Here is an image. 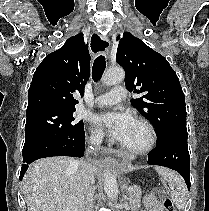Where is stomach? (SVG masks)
I'll use <instances>...</instances> for the list:
<instances>
[{"label":"stomach","instance_id":"1","mask_svg":"<svg viewBox=\"0 0 209 211\" xmlns=\"http://www.w3.org/2000/svg\"><path fill=\"white\" fill-rule=\"evenodd\" d=\"M128 164H129V160L128 159H123L122 160V163H121V170H122V172H124V170L126 169Z\"/></svg>","mask_w":209,"mask_h":211}]
</instances>
